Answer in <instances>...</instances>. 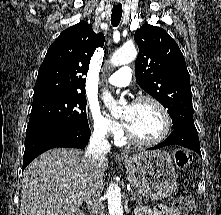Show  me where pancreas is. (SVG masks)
<instances>
[{
  "mask_svg": "<svg viewBox=\"0 0 221 215\" xmlns=\"http://www.w3.org/2000/svg\"><path fill=\"white\" fill-rule=\"evenodd\" d=\"M133 196L135 197L134 201L136 206H142L143 203L147 202L146 198H143L139 193H133Z\"/></svg>",
  "mask_w": 221,
  "mask_h": 215,
  "instance_id": "obj_1",
  "label": "pancreas"
}]
</instances>
